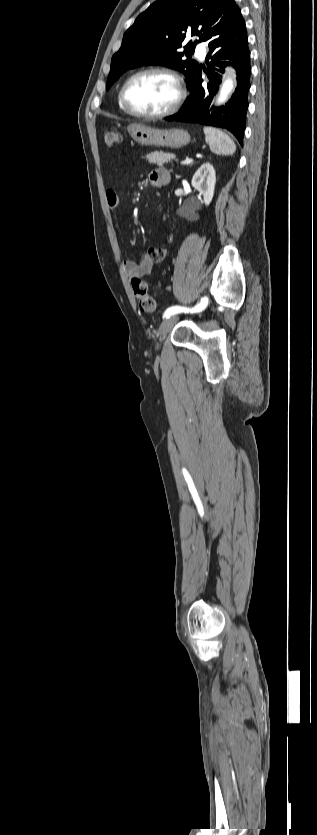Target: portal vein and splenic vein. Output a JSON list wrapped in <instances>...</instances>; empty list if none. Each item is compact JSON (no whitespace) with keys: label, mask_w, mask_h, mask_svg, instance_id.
I'll return each mask as SVG.
<instances>
[{"label":"portal vein and splenic vein","mask_w":317,"mask_h":835,"mask_svg":"<svg viewBox=\"0 0 317 835\" xmlns=\"http://www.w3.org/2000/svg\"><path fill=\"white\" fill-rule=\"evenodd\" d=\"M190 162H192V159L187 158L186 160L182 161L181 163H190Z\"/></svg>","instance_id":"18ae733b"}]
</instances>
